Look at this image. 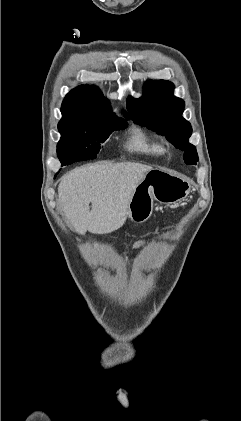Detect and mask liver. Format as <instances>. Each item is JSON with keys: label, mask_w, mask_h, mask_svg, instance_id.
Listing matches in <instances>:
<instances>
[{"label": "liver", "mask_w": 241, "mask_h": 421, "mask_svg": "<svg viewBox=\"0 0 241 421\" xmlns=\"http://www.w3.org/2000/svg\"><path fill=\"white\" fill-rule=\"evenodd\" d=\"M152 169L136 162H104L65 174L58 196L71 227L81 235L87 231L107 234L120 228L126 221L125 213L135 188Z\"/></svg>", "instance_id": "liver-1"}]
</instances>
